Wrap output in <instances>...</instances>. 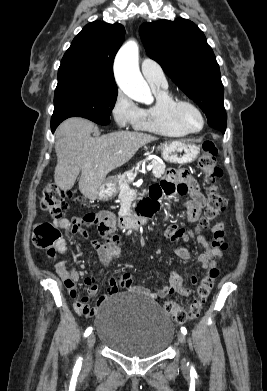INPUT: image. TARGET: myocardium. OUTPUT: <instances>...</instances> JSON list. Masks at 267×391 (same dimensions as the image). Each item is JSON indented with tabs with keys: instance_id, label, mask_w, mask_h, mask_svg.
<instances>
[{
	"instance_id": "1",
	"label": "myocardium",
	"mask_w": 267,
	"mask_h": 391,
	"mask_svg": "<svg viewBox=\"0 0 267 391\" xmlns=\"http://www.w3.org/2000/svg\"><path fill=\"white\" fill-rule=\"evenodd\" d=\"M185 107H189V108L193 109L200 116L202 124L198 130H193V129L189 128L186 125V123L184 122L183 117H182V110ZM169 111H170L172 118L175 120V122L181 128H183L187 133H192V134L199 133L205 128V125H206L205 115H204L203 111L201 110V108L197 104L192 102L191 100L184 99V98L174 99L169 106Z\"/></svg>"
}]
</instances>
